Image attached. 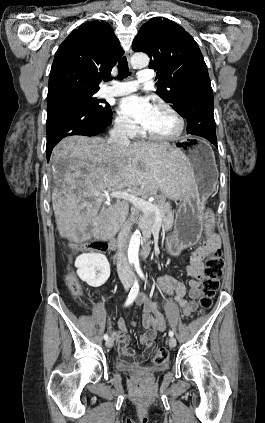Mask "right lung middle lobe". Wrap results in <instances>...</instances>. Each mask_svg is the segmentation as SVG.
Returning <instances> with one entry per match:
<instances>
[{
  "label": "right lung middle lobe",
  "mask_w": 265,
  "mask_h": 423,
  "mask_svg": "<svg viewBox=\"0 0 265 423\" xmlns=\"http://www.w3.org/2000/svg\"><path fill=\"white\" fill-rule=\"evenodd\" d=\"M97 91H92V90H71V91H67V92H63L51 97H47V102L59 98V97H67V98H72V99H76L79 100L81 102H83L85 105H87L88 107H90L92 110L102 113V114H110L111 113V108L110 105L106 104H102L103 101L102 100H98L94 94Z\"/></svg>",
  "instance_id": "dd1d6c3e"
}]
</instances>
